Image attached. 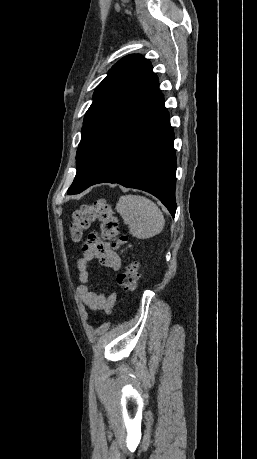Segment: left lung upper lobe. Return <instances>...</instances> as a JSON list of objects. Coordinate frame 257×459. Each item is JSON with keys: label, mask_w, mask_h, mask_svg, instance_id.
<instances>
[{"label": "left lung upper lobe", "mask_w": 257, "mask_h": 459, "mask_svg": "<svg viewBox=\"0 0 257 459\" xmlns=\"http://www.w3.org/2000/svg\"><path fill=\"white\" fill-rule=\"evenodd\" d=\"M151 63L139 54L118 61L97 86L93 103L83 122L77 150V173L67 193L78 194L96 178L109 131L131 109L142 91L155 78Z\"/></svg>", "instance_id": "obj_1"}]
</instances>
